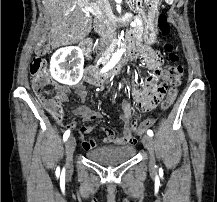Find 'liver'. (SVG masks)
Instances as JSON below:
<instances>
[{"label":"liver","instance_id":"liver-1","mask_svg":"<svg viewBox=\"0 0 217 202\" xmlns=\"http://www.w3.org/2000/svg\"><path fill=\"white\" fill-rule=\"evenodd\" d=\"M94 0H42L51 18V46H71L87 38L92 30L89 16Z\"/></svg>","mask_w":217,"mask_h":202}]
</instances>
